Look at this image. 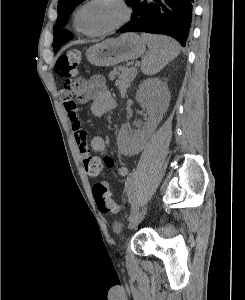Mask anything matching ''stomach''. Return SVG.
<instances>
[{"instance_id": "obj_1", "label": "stomach", "mask_w": 245, "mask_h": 300, "mask_svg": "<svg viewBox=\"0 0 245 300\" xmlns=\"http://www.w3.org/2000/svg\"><path fill=\"white\" fill-rule=\"evenodd\" d=\"M144 52L145 41L136 33H125L91 46L86 57L92 65L107 67L137 59Z\"/></svg>"}]
</instances>
